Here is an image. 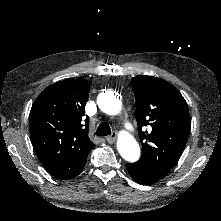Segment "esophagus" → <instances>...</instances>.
Segmentation results:
<instances>
[{
	"label": "esophagus",
	"instance_id": "1",
	"mask_svg": "<svg viewBox=\"0 0 221 221\" xmlns=\"http://www.w3.org/2000/svg\"><path fill=\"white\" fill-rule=\"evenodd\" d=\"M116 137H117V133H116V132H113V133L111 134V136H107L105 139H106V141H107L109 144H112V143L115 142Z\"/></svg>",
	"mask_w": 221,
	"mask_h": 221
}]
</instances>
